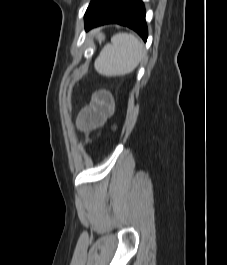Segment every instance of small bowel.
<instances>
[{
    "instance_id": "small-bowel-1",
    "label": "small bowel",
    "mask_w": 227,
    "mask_h": 265,
    "mask_svg": "<svg viewBox=\"0 0 227 265\" xmlns=\"http://www.w3.org/2000/svg\"><path fill=\"white\" fill-rule=\"evenodd\" d=\"M113 109L111 95L106 91H99L94 94L90 105L82 111L80 122L85 127L98 128L106 122Z\"/></svg>"
}]
</instances>
